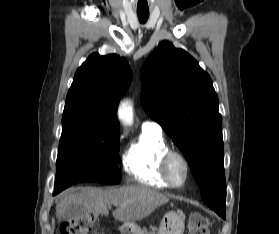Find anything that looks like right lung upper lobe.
Masks as SVG:
<instances>
[{"label": "right lung upper lobe", "mask_w": 279, "mask_h": 234, "mask_svg": "<svg viewBox=\"0 0 279 234\" xmlns=\"http://www.w3.org/2000/svg\"><path fill=\"white\" fill-rule=\"evenodd\" d=\"M132 81L125 58L91 54L75 73L63 118H82L106 132H119L117 107Z\"/></svg>", "instance_id": "right-lung-upper-lobe-1"}]
</instances>
